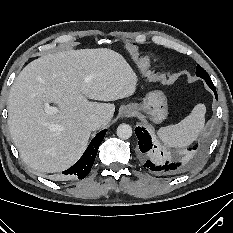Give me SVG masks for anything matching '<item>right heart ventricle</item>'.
Listing matches in <instances>:
<instances>
[{
  "mask_svg": "<svg viewBox=\"0 0 233 233\" xmlns=\"http://www.w3.org/2000/svg\"><path fill=\"white\" fill-rule=\"evenodd\" d=\"M148 64H149V59H148V58H142V59H140V61H139V65H140L141 67L147 66Z\"/></svg>",
  "mask_w": 233,
  "mask_h": 233,
  "instance_id": "obj_1",
  "label": "right heart ventricle"
}]
</instances>
